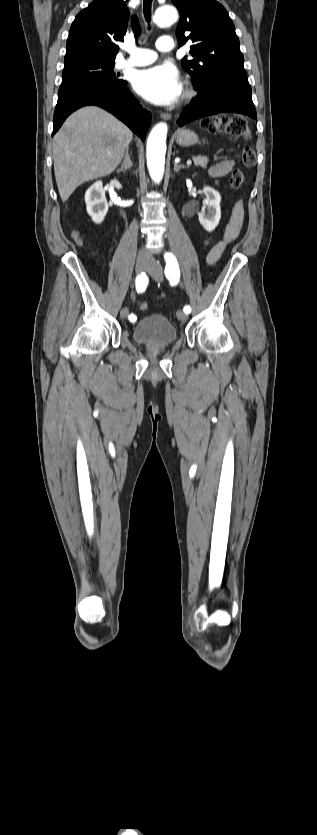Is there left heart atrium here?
Returning <instances> with one entry per match:
<instances>
[{
	"label": "left heart atrium",
	"mask_w": 317,
	"mask_h": 835,
	"mask_svg": "<svg viewBox=\"0 0 317 835\" xmlns=\"http://www.w3.org/2000/svg\"><path fill=\"white\" fill-rule=\"evenodd\" d=\"M134 88L142 97L158 105L172 104L182 93L178 71L168 63L137 72Z\"/></svg>",
	"instance_id": "obj_1"
}]
</instances>
